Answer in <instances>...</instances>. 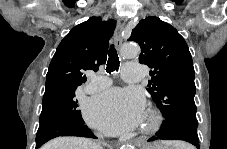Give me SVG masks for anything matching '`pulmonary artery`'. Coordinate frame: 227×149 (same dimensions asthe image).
<instances>
[{
	"label": "pulmonary artery",
	"mask_w": 227,
	"mask_h": 149,
	"mask_svg": "<svg viewBox=\"0 0 227 149\" xmlns=\"http://www.w3.org/2000/svg\"><path fill=\"white\" fill-rule=\"evenodd\" d=\"M123 79L128 83L141 81L144 75L143 66L137 63L125 64L122 71ZM91 90L97 91L110 85V80L102 75H93L91 77Z\"/></svg>",
	"instance_id": "e3ab8cb5"
}]
</instances>
